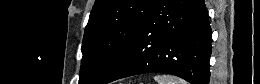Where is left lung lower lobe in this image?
Wrapping results in <instances>:
<instances>
[{
    "mask_svg": "<svg viewBox=\"0 0 260 84\" xmlns=\"http://www.w3.org/2000/svg\"><path fill=\"white\" fill-rule=\"evenodd\" d=\"M211 35L204 0H157L102 84L151 72L209 84Z\"/></svg>",
    "mask_w": 260,
    "mask_h": 84,
    "instance_id": "left-lung-lower-lobe-1",
    "label": "left lung lower lobe"
}]
</instances>
